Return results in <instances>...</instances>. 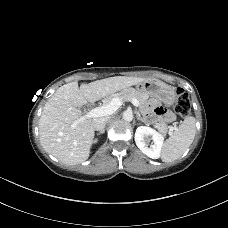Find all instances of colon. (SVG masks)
<instances>
[{
    "instance_id": "5ec220e1",
    "label": "colon",
    "mask_w": 228,
    "mask_h": 228,
    "mask_svg": "<svg viewBox=\"0 0 228 228\" xmlns=\"http://www.w3.org/2000/svg\"><path fill=\"white\" fill-rule=\"evenodd\" d=\"M176 95L177 100L175 105V112L179 117L185 118L190 113V97L188 93L180 87L176 89ZM166 120L172 122L174 120V116L167 114Z\"/></svg>"
}]
</instances>
